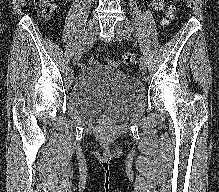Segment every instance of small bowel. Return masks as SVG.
<instances>
[{"mask_svg":"<svg viewBox=\"0 0 219 192\" xmlns=\"http://www.w3.org/2000/svg\"><path fill=\"white\" fill-rule=\"evenodd\" d=\"M151 4L155 10H162L165 2L164 0H151Z\"/></svg>","mask_w":219,"mask_h":192,"instance_id":"small-bowel-1","label":"small bowel"}]
</instances>
